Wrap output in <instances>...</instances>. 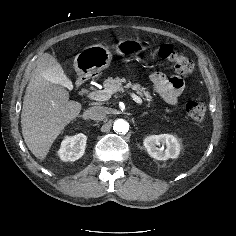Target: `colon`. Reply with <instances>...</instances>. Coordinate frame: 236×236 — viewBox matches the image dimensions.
I'll return each instance as SVG.
<instances>
[{
    "label": "colon",
    "mask_w": 236,
    "mask_h": 236,
    "mask_svg": "<svg viewBox=\"0 0 236 236\" xmlns=\"http://www.w3.org/2000/svg\"><path fill=\"white\" fill-rule=\"evenodd\" d=\"M154 53L160 59L171 63L177 74L189 75L195 69V65L191 59L177 53L170 45H162L156 48ZM185 110L195 123L203 124L206 122V108L202 102L189 101L185 106Z\"/></svg>",
    "instance_id": "1"
}]
</instances>
